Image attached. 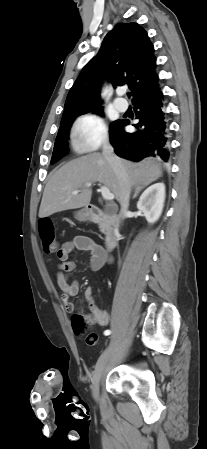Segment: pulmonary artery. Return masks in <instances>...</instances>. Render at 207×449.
Returning a JSON list of instances; mask_svg holds the SVG:
<instances>
[{
    "mask_svg": "<svg viewBox=\"0 0 207 449\" xmlns=\"http://www.w3.org/2000/svg\"><path fill=\"white\" fill-rule=\"evenodd\" d=\"M121 94L122 93H118L119 96ZM114 106L116 107L117 110L124 112V111H126L128 104L123 98L117 97L114 99Z\"/></svg>",
    "mask_w": 207,
    "mask_h": 449,
    "instance_id": "e3ab8cb5",
    "label": "pulmonary artery"
}]
</instances>
